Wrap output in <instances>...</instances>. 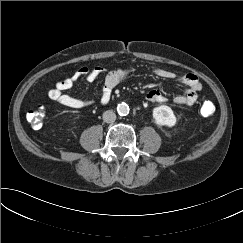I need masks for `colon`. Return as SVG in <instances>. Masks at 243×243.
<instances>
[{
	"mask_svg": "<svg viewBox=\"0 0 243 243\" xmlns=\"http://www.w3.org/2000/svg\"><path fill=\"white\" fill-rule=\"evenodd\" d=\"M200 112L203 116L206 117L212 116L215 112V106L210 101H204L201 104ZM44 118H45V111L42 106L38 107L37 109L30 110L27 113V120L30 123V125L35 129H39L42 127L44 123Z\"/></svg>",
	"mask_w": 243,
	"mask_h": 243,
	"instance_id": "obj_1",
	"label": "colon"
}]
</instances>
